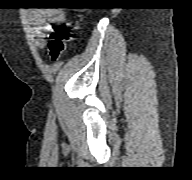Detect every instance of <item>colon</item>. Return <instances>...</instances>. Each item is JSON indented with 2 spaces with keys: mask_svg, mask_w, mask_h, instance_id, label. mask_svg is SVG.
Returning <instances> with one entry per match:
<instances>
[{
  "mask_svg": "<svg viewBox=\"0 0 192 180\" xmlns=\"http://www.w3.org/2000/svg\"><path fill=\"white\" fill-rule=\"evenodd\" d=\"M71 38V29L68 25L57 28L50 36L48 53L52 61H57L64 53L66 43Z\"/></svg>",
  "mask_w": 192,
  "mask_h": 180,
  "instance_id": "colon-1",
  "label": "colon"
}]
</instances>
